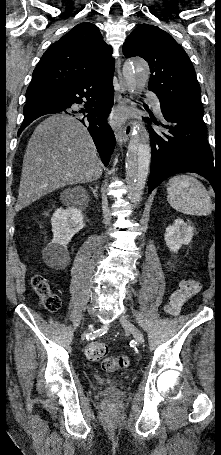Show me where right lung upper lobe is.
<instances>
[{"label":"right lung upper lobe","instance_id":"1","mask_svg":"<svg viewBox=\"0 0 221 455\" xmlns=\"http://www.w3.org/2000/svg\"><path fill=\"white\" fill-rule=\"evenodd\" d=\"M112 48L94 24L76 25L52 44L37 64L26 101L47 96L65 84L100 71L113 76Z\"/></svg>","mask_w":221,"mask_h":455}]
</instances>
